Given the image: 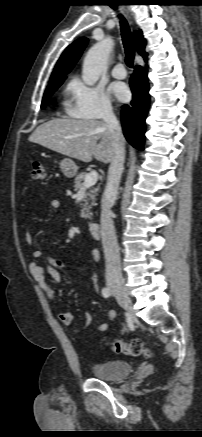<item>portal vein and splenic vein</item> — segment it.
Wrapping results in <instances>:
<instances>
[{
    "instance_id": "1",
    "label": "portal vein and splenic vein",
    "mask_w": 202,
    "mask_h": 437,
    "mask_svg": "<svg viewBox=\"0 0 202 437\" xmlns=\"http://www.w3.org/2000/svg\"><path fill=\"white\" fill-rule=\"evenodd\" d=\"M97 180H98V173L96 171H91L85 177L82 189H86L93 186L97 182Z\"/></svg>"
}]
</instances>
